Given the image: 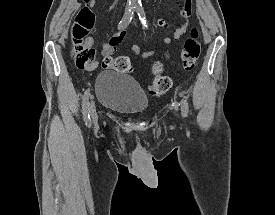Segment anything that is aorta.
I'll return each mask as SVG.
<instances>
[{
    "label": "aorta",
    "instance_id": "aorta-1",
    "mask_svg": "<svg viewBox=\"0 0 275 215\" xmlns=\"http://www.w3.org/2000/svg\"><path fill=\"white\" fill-rule=\"evenodd\" d=\"M130 2L134 6L141 4V0H130Z\"/></svg>",
    "mask_w": 275,
    "mask_h": 215
}]
</instances>
